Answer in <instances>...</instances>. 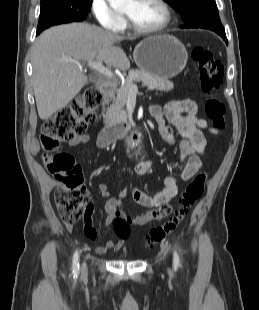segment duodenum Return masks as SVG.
Wrapping results in <instances>:
<instances>
[{"label":"duodenum","instance_id":"obj_1","mask_svg":"<svg viewBox=\"0 0 259 310\" xmlns=\"http://www.w3.org/2000/svg\"><path fill=\"white\" fill-rule=\"evenodd\" d=\"M115 87V82L110 79H105L99 83V88L104 95H108ZM130 129L128 119L111 122L100 133L99 143L102 145L110 144L116 141L121 136L125 135Z\"/></svg>","mask_w":259,"mask_h":310}]
</instances>
